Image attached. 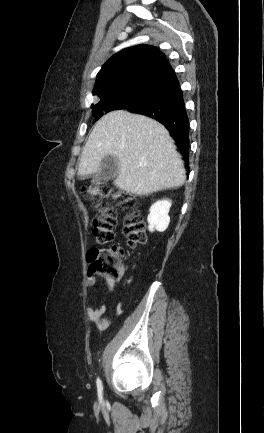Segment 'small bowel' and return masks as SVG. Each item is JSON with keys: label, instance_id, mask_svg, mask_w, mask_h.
Wrapping results in <instances>:
<instances>
[{"label": "small bowel", "instance_id": "c3829d8e", "mask_svg": "<svg viewBox=\"0 0 264 433\" xmlns=\"http://www.w3.org/2000/svg\"><path fill=\"white\" fill-rule=\"evenodd\" d=\"M87 286L94 287L96 280L92 275L87 276ZM122 301H118L114 314L116 316L121 315L123 312ZM88 319L96 325L98 330L105 331L111 324V317L106 316L107 309L104 305L101 306H90L87 310Z\"/></svg>", "mask_w": 264, "mask_h": 433}]
</instances>
